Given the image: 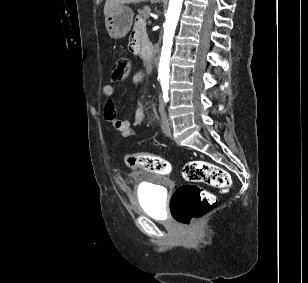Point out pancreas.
Returning <instances> with one entry per match:
<instances>
[{
  "mask_svg": "<svg viewBox=\"0 0 308 283\" xmlns=\"http://www.w3.org/2000/svg\"><path fill=\"white\" fill-rule=\"evenodd\" d=\"M149 12H150V8L148 6H144L143 9L138 10L139 15L143 17L144 19L149 18Z\"/></svg>",
  "mask_w": 308,
  "mask_h": 283,
  "instance_id": "pancreas-1",
  "label": "pancreas"
}]
</instances>
